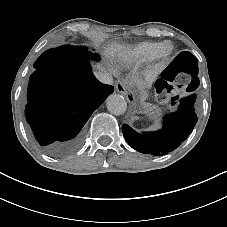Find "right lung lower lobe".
I'll return each instance as SVG.
<instances>
[{
  "instance_id": "obj_1",
  "label": "right lung lower lobe",
  "mask_w": 227,
  "mask_h": 227,
  "mask_svg": "<svg viewBox=\"0 0 227 227\" xmlns=\"http://www.w3.org/2000/svg\"><path fill=\"white\" fill-rule=\"evenodd\" d=\"M25 115L35 139L51 156L76 150L80 131L92 113L113 92L100 83L69 45L45 51L34 63Z\"/></svg>"
}]
</instances>
